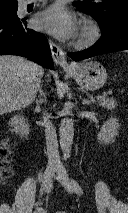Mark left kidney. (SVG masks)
Here are the masks:
<instances>
[{
  "instance_id": "1",
  "label": "left kidney",
  "mask_w": 128,
  "mask_h": 213,
  "mask_svg": "<svg viewBox=\"0 0 128 213\" xmlns=\"http://www.w3.org/2000/svg\"><path fill=\"white\" fill-rule=\"evenodd\" d=\"M119 126L117 119L111 118L107 120L97 135L99 142L104 144L114 142L115 137L118 135Z\"/></svg>"
}]
</instances>
